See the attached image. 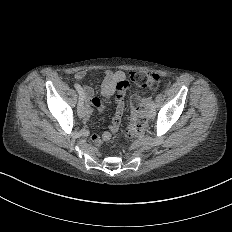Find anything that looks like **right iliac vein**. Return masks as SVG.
I'll list each match as a JSON object with an SVG mask.
<instances>
[{"mask_svg":"<svg viewBox=\"0 0 232 232\" xmlns=\"http://www.w3.org/2000/svg\"><path fill=\"white\" fill-rule=\"evenodd\" d=\"M83 107H84V102H83V100H80V102H78V104H77V112H78L79 118L85 117V112L83 111Z\"/></svg>","mask_w":232,"mask_h":232,"instance_id":"63e3f726","label":"right iliac vein"}]
</instances>
